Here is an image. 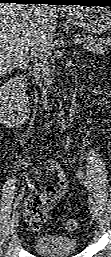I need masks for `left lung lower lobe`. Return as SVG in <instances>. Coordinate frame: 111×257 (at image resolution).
<instances>
[{
	"label": "left lung lower lobe",
	"instance_id": "1",
	"mask_svg": "<svg viewBox=\"0 0 111 257\" xmlns=\"http://www.w3.org/2000/svg\"><path fill=\"white\" fill-rule=\"evenodd\" d=\"M89 6L93 4H101L104 6H111V0H71V5Z\"/></svg>",
	"mask_w": 111,
	"mask_h": 257
}]
</instances>
